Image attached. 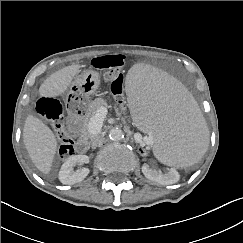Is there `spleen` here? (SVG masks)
<instances>
[{"label":"spleen","instance_id":"spleen-1","mask_svg":"<svg viewBox=\"0 0 243 243\" xmlns=\"http://www.w3.org/2000/svg\"><path fill=\"white\" fill-rule=\"evenodd\" d=\"M130 113L165 165L195 164L209 144V131L190 96L169 75L148 65L126 78Z\"/></svg>","mask_w":243,"mask_h":243}]
</instances>
